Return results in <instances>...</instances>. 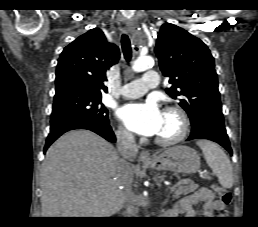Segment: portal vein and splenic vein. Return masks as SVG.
<instances>
[{
    "label": "portal vein and splenic vein",
    "mask_w": 258,
    "mask_h": 227,
    "mask_svg": "<svg viewBox=\"0 0 258 227\" xmlns=\"http://www.w3.org/2000/svg\"><path fill=\"white\" fill-rule=\"evenodd\" d=\"M191 182H192L191 179H183V180H180L179 182H177V183L171 188V192H172L174 189L178 188L179 186H181V185H187V184H189V183H191ZM167 200H168V199H166V202H167ZM166 202H165L164 204H166Z\"/></svg>",
    "instance_id": "18ae733b"
}]
</instances>
